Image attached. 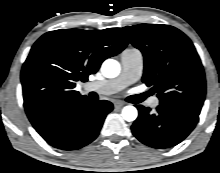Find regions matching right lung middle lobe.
I'll use <instances>...</instances> for the list:
<instances>
[{"mask_svg": "<svg viewBox=\"0 0 220 173\" xmlns=\"http://www.w3.org/2000/svg\"><path fill=\"white\" fill-rule=\"evenodd\" d=\"M25 110L28 116L42 111L37 108V104L35 102H29L27 105H25Z\"/></svg>", "mask_w": 220, "mask_h": 173, "instance_id": "1", "label": "right lung middle lobe"}]
</instances>
